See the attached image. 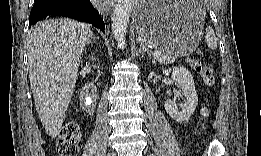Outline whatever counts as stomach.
<instances>
[{"label": "stomach", "instance_id": "stomach-1", "mask_svg": "<svg viewBox=\"0 0 261 156\" xmlns=\"http://www.w3.org/2000/svg\"><path fill=\"white\" fill-rule=\"evenodd\" d=\"M205 12L198 2L138 3L134 23L147 43L177 57L190 55L199 44Z\"/></svg>", "mask_w": 261, "mask_h": 156}]
</instances>
